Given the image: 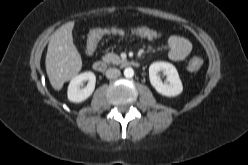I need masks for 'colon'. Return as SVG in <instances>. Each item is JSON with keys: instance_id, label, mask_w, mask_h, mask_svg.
I'll use <instances>...</instances> for the list:
<instances>
[{"instance_id": "obj_1", "label": "colon", "mask_w": 248, "mask_h": 165, "mask_svg": "<svg viewBox=\"0 0 248 165\" xmlns=\"http://www.w3.org/2000/svg\"><path fill=\"white\" fill-rule=\"evenodd\" d=\"M121 33H122V30L117 29V28H99V29L93 30L88 37L87 51L89 53H92L95 50L98 42L103 37L109 36V35H117ZM142 33L152 38L158 37V33L153 29H144L142 30ZM202 65H203V60L201 58L193 57L188 63V69L190 71H198L202 67Z\"/></svg>"}]
</instances>
